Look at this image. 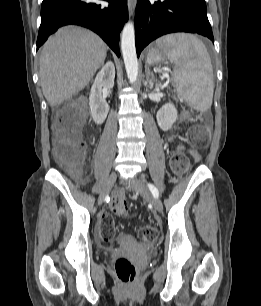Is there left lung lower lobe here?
<instances>
[{"instance_id":"obj_1","label":"left lung lower lobe","mask_w":261,"mask_h":306,"mask_svg":"<svg viewBox=\"0 0 261 306\" xmlns=\"http://www.w3.org/2000/svg\"><path fill=\"white\" fill-rule=\"evenodd\" d=\"M174 32L197 33L214 41L205 0H139L135 13L137 56L156 38Z\"/></svg>"}]
</instances>
